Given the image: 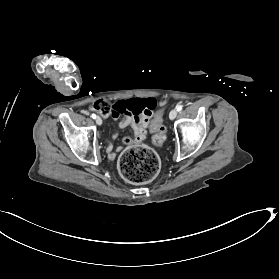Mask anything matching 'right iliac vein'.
Instances as JSON below:
<instances>
[{
  "label": "right iliac vein",
  "mask_w": 279,
  "mask_h": 279,
  "mask_svg": "<svg viewBox=\"0 0 279 279\" xmlns=\"http://www.w3.org/2000/svg\"><path fill=\"white\" fill-rule=\"evenodd\" d=\"M96 123L98 124V125H101L102 124V119L98 116V117H96Z\"/></svg>",
  "instance_id": "obj_1"
}]
</instances>
